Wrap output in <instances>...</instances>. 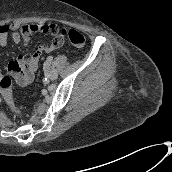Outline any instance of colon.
<instances>
[{"label": "colon", "instance_id": "1", "mask_svg": "<svg viewBox=\"0 0 172 172\" xmlns=\"http://www.w3.org/2000/svg\"><path fill=\"white\" fill-rule=\"evenodd\" d=\"M37 30H42L45 32H49L51 34H60L62 37L66 38L72 45L75 47H83L85 44V37L79 31L74 29H61L59 30L57 27L53 25H26L22 28L21 33L24 39H29L31 34L36 32ZM39 51V49H38ZM13 86V78L10 75H5L0 78V94L5 101V103L15 111V104L11 95V88Z\"/></svg>", "mask_w": 172, "mask_h": 172}]
</instances>
